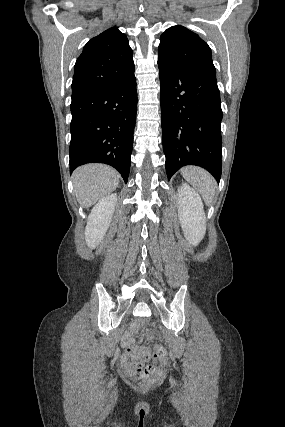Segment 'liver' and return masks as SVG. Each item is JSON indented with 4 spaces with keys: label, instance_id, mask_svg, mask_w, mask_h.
<instances>
[{
    "label": "liver",
    "instance_id": "liver-1",
    "mask_svg": "<svg viewBox=\"0 0 285 427\" xmlns=\"http://www.w3.org/2000/svg\"><path fill=\"white\" fill-rule=\"evenodd\" d=\"M119 173L103 164H87L72 174L74 192L80 205L89 208L113 192L119 184Z\"/></svg>",
    "mask_w": 285,
    "mask_h": 427
}]
</instances>
